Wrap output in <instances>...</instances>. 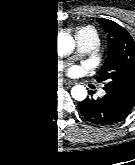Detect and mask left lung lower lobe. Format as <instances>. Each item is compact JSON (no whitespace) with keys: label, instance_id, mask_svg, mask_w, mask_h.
<instances>
[{"label":"left lung lower lobe","instance_id":"obj_1","mask_svg":"<svg viewBox=\"0 0 135 165\" xmlns=\"http://www.w3.org/2000/svg\"><path fill=\"white\" fill-rule=\"evenodd\" d=\"M106 91L100 99H85L79 104L82 115L97 124H114L129 115L134 105L128 103L119 94Z\"/></svg>","mask_w":135,"mask_h":165}]
</instances>
